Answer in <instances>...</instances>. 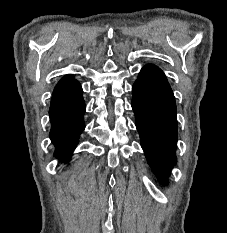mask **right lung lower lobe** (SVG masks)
Here are the masks:
<instances>
[{"instance_id": "right-lung-lower-lobe-1", "label": "right lung lower lobe", "mask_w": 227, "mask_h": 233, "mask_svg": "<svg viewBox=\"0 0 227 233\" xmlns=\"http://www.w3.org/2000/svg\"><path fill=\"white\" fill-rule=\"evenodd\" d=\"M85 109L82 88L78 81L53 93L49 116L50 138L55 145V157L64 161L71 157L85 128Z\"/></svg>"}]
</instances>
